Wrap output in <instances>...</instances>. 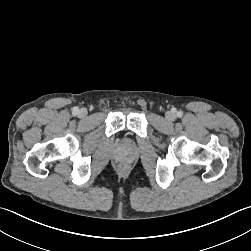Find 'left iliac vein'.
Wrapping results in <instances>:
<instances>
[{
  "label": "left iliac vein",
  "mask_w": 251,
  "mask_h": 251,
  "mask_svg": "<svg viewBox=\"0 0 251 251\" xmlns=\"http://www.w3.org/2000/svg\"><path fill=\"white\" fill-rule=\"evenodd\" d=\"M166 118L168 120H173L175 118V115L172 112H167L166 113Z\"/></svg>",
  "instance_id": "1"
}]
</instances>
